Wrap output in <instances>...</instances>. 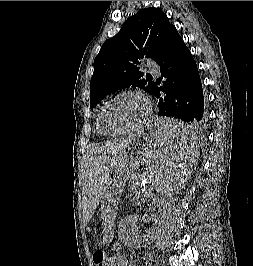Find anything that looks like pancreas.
Segmentation results:
<instances>
[{"instance_id": "1", "label": "pancreas", "mask_w": 253, "mask_h": 266, "mask_svg": "<svg viewBox=\"0 0 253 266\" xmlns=\"http://www.w3.org/2000/svg\"><path fill=\"white\" fill-rule=\"evenodd\" d=\"M138 199H140V200H145V197H142V196H141V192H137V193L135 194V198H134V200L138 201Z\"/></svg>"}]
</instances>
